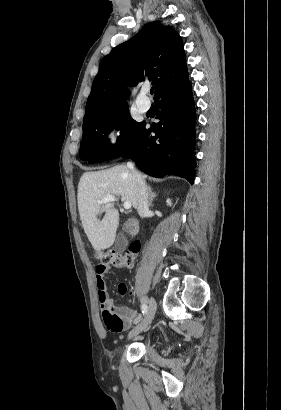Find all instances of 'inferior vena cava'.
Returning a JSON list of instances; mask_svg holds the SVG:
<instances>
[{"mask_svg": "<svg viewBox=\"0 0 281 410\" xmlns=\"http://www.w3.org/2000/svg\"><path fill=\"white\" fill-rule=\"evenodd\" d=\"M127 167L132 173L137 190V211L141 218H144L149 211L148 191L143 176L134 168L133 163L128 162Z\"/></svg>", "mask_w": 281, "mask_h": 410, "instance_id": "602c4592", "label": "inferior vena cava"}]
</instances>
